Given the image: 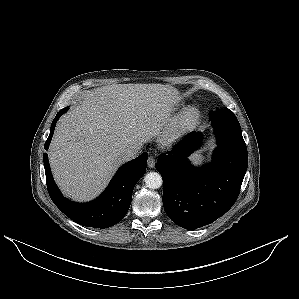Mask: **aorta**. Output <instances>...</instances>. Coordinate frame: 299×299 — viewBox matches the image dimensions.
I'll list each match as a JSON object with an SVG mask.
<instances>
[{
	"instance_id": "obj_1",
	"label": "aorta",
	"mask_w": 299,
	"mask_h": 299,
	"mask_svg": "<svg viewBox=\"0 0 299 299\" xmlns=\"http://www.w3.org/2000/svg\"><path fill=\"white\" fill-rule=\"evenodd\" d=\"M145 185L150 189H158L162 186V176L158 172H149L144 177Z\"/></svg>"
}]
</instances>
